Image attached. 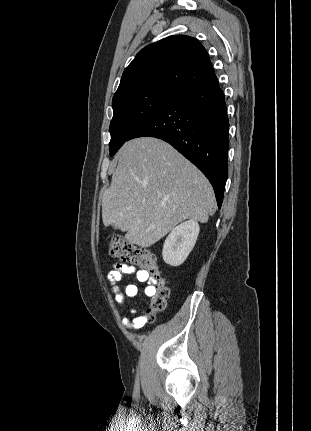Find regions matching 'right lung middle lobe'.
<instances>
[{
	"label": "right lung middle lobe",
	"mask_w": 311,
	"mask_h": 431,
	"mask_svg": "<svg viewBox=\"0 0 311 431\" xmlns=\"http://www.w3.org/2000/svg\"><path fill=\"white\" fill-rule=\"evenodd\" d=\"M180 95L160 89H139L113 97V118L110 123V155L129 140L131 133L143 122Z\"/></svg>",
	"instance_id": "obj_1"
}]
</instances>
